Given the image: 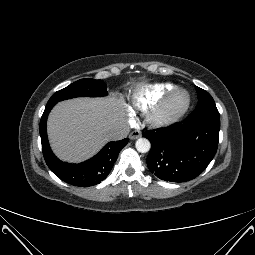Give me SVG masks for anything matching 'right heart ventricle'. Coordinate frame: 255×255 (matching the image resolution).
<instances>
[{"label": "right heart ventricle", "instance_id": "obj_1", "mask_svg": "<svg viewBox=\"0 0 255 255\" xmlns=\"http://www.w3.org/2000/svg\"><path fill=\"white\" fill-rule=\"evenodd\" d=\"M176 88L171 83L154 84L142 88L133 97L134 105L140 110H148L157 105L170 91Z\"/></svg>", "mask_w": 255, "mask_h": 255}]
</instances>
